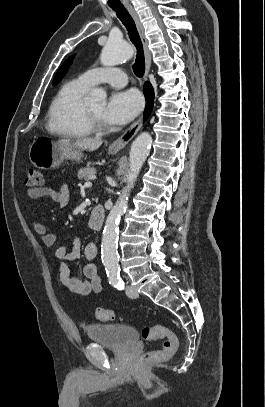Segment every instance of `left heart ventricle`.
Returning a JSON list of instances; mask_svg holds the SVG:
<instances>
[{"mask_svg": "<svg viewBox=\"0 0 265 407\" xmlns=\"http://www.w3.org/2000/svg\"><path fill=\"white\" fill-rule=\"evenodd\" d=\"M88 108H89L104 124H106V121L104 120V110H105V104H104V103L94 104V105L88 106ZM106 125H107V124H106Z\"/></svg>", "mask_w": 265, "mask_h": 407, "instance_id": "1", "label": "left heart ventricle"}]
</instances>
